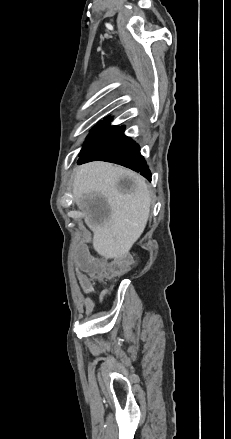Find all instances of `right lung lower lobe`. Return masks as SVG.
Wrapping results in <instances>:
<instances>
[{
  "mask_svg": "<svg viewBox=\"0 0 231 439\" xmlns=\"http://www.w3.org/2000/svg\"><path fill=\"white\" fill-rule=\"evenodd\" d=\"M124 129V126L119 127L95 147L81 155L77 163L83 164L95 160L112 162L140 172L145 178L151 180L150 170L140 154L139 145L124 135Z\"/></svg>",
  "mask_w": 231,
  "mask_h": 439,
  "instance_id": "1",
  "label": "right lung lower lobe"
}]
</instances>
